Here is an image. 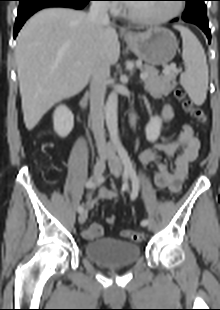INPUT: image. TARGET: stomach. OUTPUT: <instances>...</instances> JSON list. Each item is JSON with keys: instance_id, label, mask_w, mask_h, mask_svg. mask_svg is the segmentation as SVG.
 Instances as JSON below:
<instances>
[{"instance_id": "stomach-1", "label": "stomach", "mask_w": 220, "mask_h": 310, "mask_svg": "<svg viewBox=\"0 0 220 310\" xmlns=\"http://www.w3.org/2000/svg\"><path fill=\"white\" fill-rule=\"evenodd\" d=\"M125 40L133 53L149 66L170 62L176 55L178 41L168 29L153 27L142 33H132Z\"/></svg>"}]
</instances>
